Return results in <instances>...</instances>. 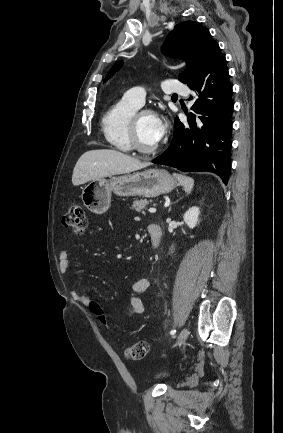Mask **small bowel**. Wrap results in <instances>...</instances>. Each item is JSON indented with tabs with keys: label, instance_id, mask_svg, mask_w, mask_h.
<instances>
[{
	"label": "small bowel",
	"instance_id": "small-bowel-1",
	"mask_svg": "<svg viewBox=\"0 0 283 433\" xmlns=\"http://www.w3.org/2000/svg\"><path fill=\"white\" fill-rule=\"evenodd\" d=\"M58 260L60 271L63 274H66L69 268V252L66 249H61L58 252ZM150 287V280L148 278H140L135 281L131 286V297H130V307L131 311L134 315H139L144 312V303L140 297V294L145 292ZM72 298L75 302L81 305H89L90 299L89 297L76 290L73 289L71 292Z\"/></svg>",
	"mask_w": 283,
	"mask_h": 433
}]
</instances>
